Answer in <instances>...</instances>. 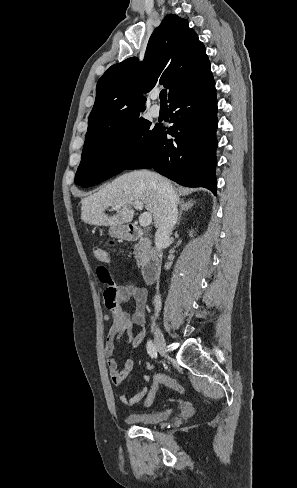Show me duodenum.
Here are the masks:
<instances>
[{
    "mask_svg": "<svg viewBox=\"0 0 297 488\" xmlns=\"http://www.w3.org/2000/svg\"><path fill=\"white\" fill-rule=\"evenodd\" d=\"M144 236V232L134 226V225H129L123 230V238L129 241H134L139 238H142ZM160 270V259L157 255V253L154 250H151L147 253L143 260L141 272L143 279L147 283H152Z\"/></svg>",
    "mask_w": 297,
    "mask_h": 488,
    "instance_id": "obj_1",
    "label": "duodenum"
}]
</instances>
